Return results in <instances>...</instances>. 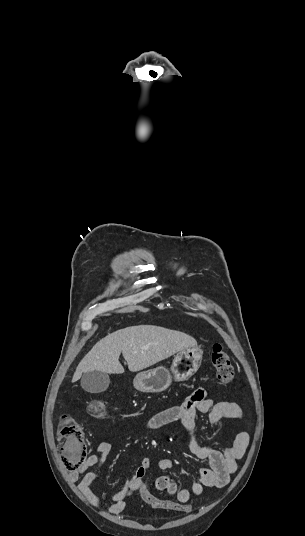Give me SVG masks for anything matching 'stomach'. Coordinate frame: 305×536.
Listing matches in <instances>:
<instances>
[{"label":"stomach","mask_w":305,"mask_h":536,"mask_svg":"<svg viewBox=\"0 0 305 536\" xmlns=\"http://www.w3.org/2000/svg\"><path fill=\"white\" fill-rule=\"evenodd\" d=\"M203 352L195 346V348H186L181 350L175 356L171 372L159 366L154 370H147V372H140L133 380L134 388L139 392H164L169 388L172 380L175 382H186L191 376H194L198 368L201 366Z\"/></svg>","instance_id":"1"}]
</instances>
